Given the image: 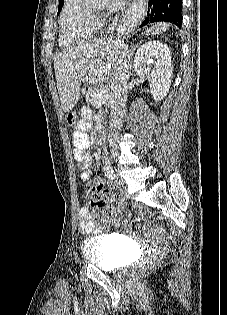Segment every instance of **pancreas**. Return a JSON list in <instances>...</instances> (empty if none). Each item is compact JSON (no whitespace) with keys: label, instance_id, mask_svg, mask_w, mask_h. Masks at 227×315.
I'll list each match as a JSON object with an SVG mask.
<instances>
[{"label":"pancreas","instance_id":"cf45deb5","mask_svg":"<svg viewBox=\"0 0 227 315\" xmlns=\"http://www.w3.org/2000/svg\"><path fill=\"white\" fill-rule=\"evenodd\" d=\"M100 91H101V89H100V82H97L95 80V78H92L90 80V85L88 86V91L86 92V97L89 98V101L91 103H94L95 100L98 101V98L94 97V93L100 92ZM109 97H110L109 94L106 93L104 95L103 99L101 100V103L107 106L106 101L109 99Z\"/></svg>","mask_w":227,"mask_h":315}]
</instances>
